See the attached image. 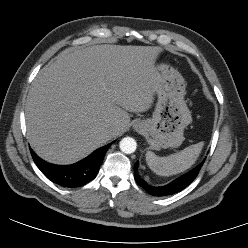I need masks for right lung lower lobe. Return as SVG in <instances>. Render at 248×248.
<instances>
[{"label": "right lung lower lobe", "mask_w": 248, "mask_h": 248, "mask_svg": "<svg viewBox=\"0 0 248 248\" xmlns=\"http://www.w3.org/2000/svg\"><path fill=\"white\" fill-rule=\"evenodd\" d=\"M111 143L95 150L91 155L76 164L68 166L53 165L40 159L32 150L33 160L41 172L52 182L64 187H79L92 181L103 161Z\"/></svg>", "instance_id": "obj_1"}]
</instances>
